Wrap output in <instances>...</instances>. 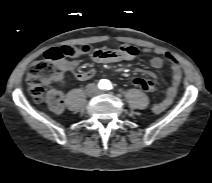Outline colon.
Returning <instances> with one entry per match:
<instances>
[{
  "instance_id": "colon-1",
  "label": "colon",
  "mask_w": 212,
  "mask_h": 183,
  "mask_svg": "<svg viewBox=\"0 0 212 183\" xmlns=\"http://www.w3.org/2000/svg\"><path fill=\"white\" fill-rule=\"evenodd\" d=\"M89 45L61 46L49 49L45 59L34 62L27 73L26 81L30 95L36 102H41L46 86L52 83L58 64L66 58L74 59L90 53ZM132 84L144 92H152L154 84L146 78H135Z\"/></svg>"
}]
</instances>
